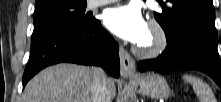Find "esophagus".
<instances>
[{
    "label": "esophagus",
    "instance_id": "1",
    "mask_svg": "<svg viewBox=\"0 0 221 102\" xmlns=\"http://www.w3.org/2000/svg\"><path fill=\"white\" fill-rule=\"evenodd\" d=\"M119 55L122 75L129 79L137 77L135 61L122 46H120Z\"/></svg>",
    "mask_w": 221,
    "mask_h": 102
}]
</instances>
